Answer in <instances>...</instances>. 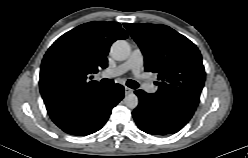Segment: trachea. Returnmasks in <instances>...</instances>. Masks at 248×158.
Instances as JSON below:
<instances>
[{"label":"trachea","instance_id":"3493384b","mask_svg":"<svg viewBox=\"0 0 248 158\" xmlns=\"http://www.w3.org/2000/svg\"><path fill=\"white\" fill-rule=\"evenodd\" d=\"M113 83H114V81L112 79L104 78V79L101 80V84L105 85V86H110ZM126 84H127L128 87H130L132 89H136L139 86L138 83L136 81H133V80H128Z\"/></svg>","mask_w":248,"mask_h":158}]
</instances>
